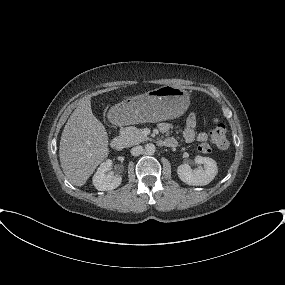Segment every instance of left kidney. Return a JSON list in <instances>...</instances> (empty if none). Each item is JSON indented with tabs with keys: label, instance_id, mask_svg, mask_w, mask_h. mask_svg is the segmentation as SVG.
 Returning <instances> with one entry per match:
<instances>
[{
	"label": "left kidney",
	"instance_id": "left-kidney-1",
	"mask_svg": "<svg viewBox=\"0 0 285 285\" xmlns=\"http://www.w3.org/2000/svg\"><path fill=\"white\" fill-rule=\"evenodd\" d=\"M195 162L203 164V168L192 170L188 164H181L177 168L178 177L188 185L204 186L209 184L217 175V163L209 157L196 156Z\"/></svg>",
	"mask_w": 285,
	"mask_h": 285
}]
</instances>
